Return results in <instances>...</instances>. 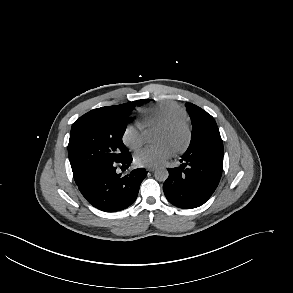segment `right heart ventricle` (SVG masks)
I'll return each mask as SVG.
<instances>
[{
	"instance_id": "e07e8e85",
	"label": "right heart ventricle",
	"mask_w": 293,
	"mask_h": 293,
	"mask_svg": "<svg viewBox=\"0 0 293 293\" xmlns=\"http://www.w3.org/2000/svg\"><path fill=\"white\" fill-rule=\"evenodd\" d=\"M185 118V110L179 104L174 102H159L143 109L140 126L143 129L155 126L160 127Z\"/></svg>"
}]
</instances>
